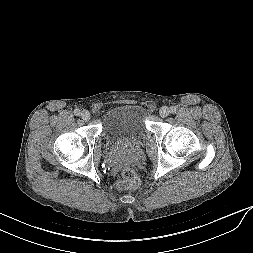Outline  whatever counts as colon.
<instances>
[{
  "instance_id": "5ec220e1",
  "label": "colon",
  "mask_w": 253,
  "mask_h": 253,
  "mask_svg": "<svg viewBox=\"0 0 253 253\" xmlns=\"http://www.w3.org/2000/svg\"><path fill=\"white\" fill-rule=\"evenodd\" d=\"M121 189H136L139 186V178L136 172L129 167H125L121 172V180L118 184Z\"/></svg>"
}]
</instances>
